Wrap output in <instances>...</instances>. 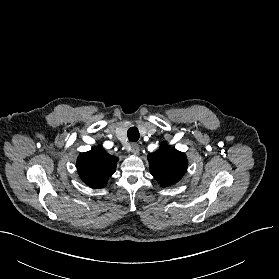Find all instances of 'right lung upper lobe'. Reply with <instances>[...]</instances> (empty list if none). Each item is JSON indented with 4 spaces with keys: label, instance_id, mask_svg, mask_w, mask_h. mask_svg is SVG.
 I'll list each match as a JSON object with an SVG mask.
<instances>
[{
    "label": "right lung upper lobe",
    "instance_id": "right-lung-upper-lobe-1",
    "mask_svg": "<svg viewBox=\"0 0 279 279\" xmlns=\"http://www.w3.org/2000/svg\"><path fill=\"white\" fill-rule=\"evenodd\" d=\"M118 159L98 146L81 153L77 159V169L81 179L91 188H103L115 172Z\"/></svg>",
    "mask_w": 279,
    "mask_h": 279
}]
</instances>
